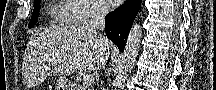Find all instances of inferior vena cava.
<instances>
[{
  "label": "inferior vena cava",
  "instance_id": "602c4592",
  "mask_svg": "<svg viewBox=\"0 0 216 90\" xmlns=\"http://www.w3.org/2000/svg\"><path fill=\"white\" fill-rule=\"evenodd\" d=\"M109 12V6L107 4H93L91 8V20L88 22L87 30L88 32H93L99 36L101 42H103V52H105L104 62L108 60L110 54L109 50L111 48L109 40L105 36V18Z\"/></svg>",
  "mask_w": 216,
  "mask_h": 90
}]
</instances>
